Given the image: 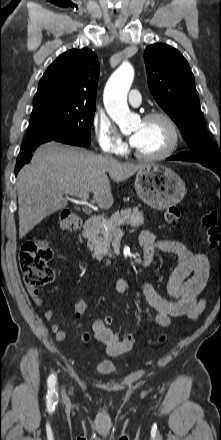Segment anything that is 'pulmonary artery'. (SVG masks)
Here are the masks:
<instances>
[{
  "label": "pulmonary artery",
  "mask_w": 221,
  "mask_h": 440,
  "mask_svg": "<svg viewBox=\"0 0 221 440\" xmlns=\"http://www.w3.org/2000/svg\"><path fill=\"white\" fill-rule=\"evenodd\" d=\"M128 101L133 106H138L141 104V94L138 90L132 89L128 95Z\"/></svg>",
  "instance_id": "1"
}]
</instances>
